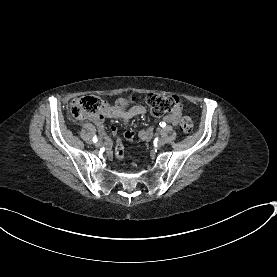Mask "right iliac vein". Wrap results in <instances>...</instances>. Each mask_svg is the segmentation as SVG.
Listing matches in <instances>:
<instances>
[{
	"label": "right iliac vein",
	"instance_id": "right-iliac-vein-1",
	"mask_svg": "<svg viewBox=\"0 0 277 277\" xmlns=\"http://www.w3.org/2000/svg\"><path fill=\"white\" fill-rule=\"evenodd\" d=\"M102 145H103V143H102L101 141H98V142L95 143V146H96L97 148L102 147Z\"/></svg>",
	"mask_w": 277,
	"mask_h": 277
}]
</instances>
